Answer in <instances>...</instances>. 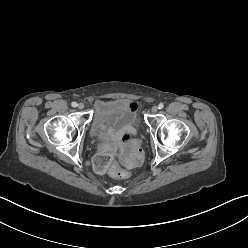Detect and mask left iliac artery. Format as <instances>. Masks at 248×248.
Masks as SVG:
<instances>
[{"instance_id":"44dca946","label":"left iliac artery","mask_w":248,"mask_h":248,"mask_svg":"<svg viewBox=\"0 0 248 248\" xmlns=\"http://www.w3.org/2000/svg\"><path fill=\"white\" fill-rule=\"evenodd\" d=\"M163 107H164L163 103H160V104L158 105V108H159V109H162Z\"/></svg>"}]
</instances>
